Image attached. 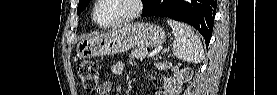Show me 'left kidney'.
Here are the masks:
<instances>
[{
	"instance_id": "left-kidney-1",
	"label": "left kidney",
	"mask_w": 277,
	"mask_h": 95,
	"mask_svg": "<svg viewBox=\"0 0 277 95\" xmlns=\"http://www.w3.org/2000/svg\"><path fill=\"white\" fill-rule=\"evenodd\" d=\"M171 70L174 72V77H163L164 88L168 93L176 92L181 88L182 83L188 78L189 70L183 69L179 70L176 66H170Z\"/></svg>"
}]
</instances>
